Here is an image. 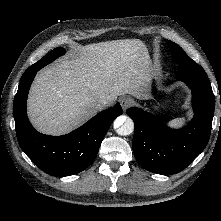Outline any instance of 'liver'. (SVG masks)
Segmentation results:
<instances>
[{
    "mask_svg": "<svg viewBox=\"0 0 221 221\" xmlns=\"http://www.w3.org/2000/svg\"><path fill=\"white\" fill-rule=\"evenodd\" d=\"M150 76L147 48L139 39L80 46L70 60L37 75L28 97L30 121L44 134L68 133L96 114L101 97L110 104L124 94L147 98Z\"/></svg>",
    "mask_w": 221,
    "mask_h": 221,
    "instance_id": "1",
    "label": "liver"
}]
</instances>
